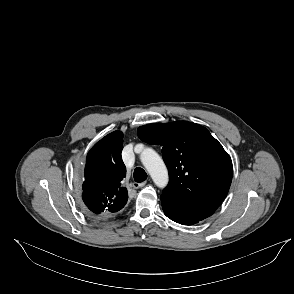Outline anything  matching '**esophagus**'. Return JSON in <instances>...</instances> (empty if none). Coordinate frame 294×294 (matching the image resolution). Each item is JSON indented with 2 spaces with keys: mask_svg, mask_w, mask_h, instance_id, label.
<instances>
[{
  "mask_svg": "<svg viewBox=\"0 0 294 294\" xmlns=\"http://www.w3.org/2000/svg\"><path fill=\"white\" fill-rule=\"evenodd\" d=\"M145 185H146V182H142V183L134 182V183L132 184V187H133L134 189H138V188L143 187V186H145Z\"/></svg>",
  "mask_w": 294,
  "mask_h": 294,
  "instance_id": "obj_1",
  "label": "esophagus"
}]
</instances>
